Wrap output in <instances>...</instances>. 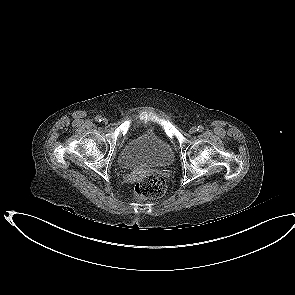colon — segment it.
Here are the masks:
<instances>
[{
	"mask_svg": "<svg viewBox=\"0 0 295 295\" xmlns=\"http://www.w3.org/2000/svg\"><path fill=\"white\" fill-rule=\"evenodd\" d=\"M166 192L165 180L156 174L144 176L135 187V195L138 199L159 198Z\"/></svg>",
	"mask_w": 295,
	"mask_h": 295,
	"instance_id": "5ec220e1",
	"label": "colon"
}]
</instances>
